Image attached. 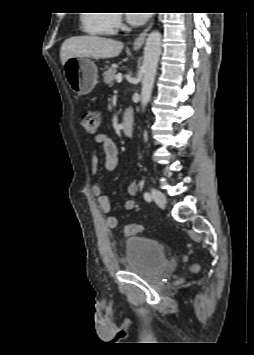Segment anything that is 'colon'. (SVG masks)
Returning a JSON list of instances; mask_svg holds the SVG:
<instances>
[{
    "label": "colon",
    "instance_id": "1",
    "mask_svg": "<svg viewBox=\"0 0 254 355\" xmlns=\"http://www.w3.org/2000/svg\"><path fill=\"white\" fill-rule=\"evenodd\" d=\"M81 123L85 131L89 134H95L98 131L99 125H100V117L98 112L89 110L86 111L82 117H81ZM143 229L142 225L140 224H127L123 228V233L126 236H132L135 235L139 232H141ZM198 265L195 264L192 266V271H197L198 270Z\"/></svg>",
    "mask_w": 254,
    "mask_h": 355
}]
</instances>
